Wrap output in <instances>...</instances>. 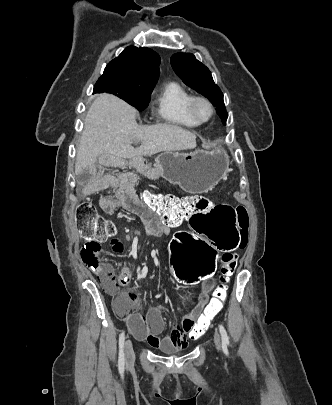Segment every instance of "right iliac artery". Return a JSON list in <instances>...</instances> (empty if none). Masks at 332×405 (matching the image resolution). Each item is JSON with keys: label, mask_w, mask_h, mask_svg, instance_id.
Returning a JSON list of instances; mask_svg holds the SVG:
<instances>
[{"label": "right iliac artery", "mask_w": 332, "mask_h": 405, "mask_svg": "<svg viewBox=\"0 0 332 405\" xmlns=\"http://www.w3.org/2000/svg\"><path fill=\"white\" fill-rule=\"evenodd\" d=\"M124 341H125V333L122 332L119 337V360H118V367L120 371L124 370L125 359H124Z\"/></svg>", "instance_id": "obj_1"}]
</instances>
